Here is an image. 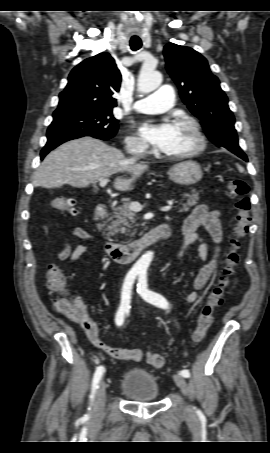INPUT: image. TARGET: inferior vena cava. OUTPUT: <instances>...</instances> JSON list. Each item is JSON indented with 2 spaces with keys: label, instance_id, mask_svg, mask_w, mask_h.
Here are the masks:
<instances>
[{
  "label": "inferior vena cava",
  "instance_id": "1",
  "mask_svg": "<svg viewBox=\"0 0 270 453\" xmlns=\"http://www.w3.org/2000/svg\"><path fill=\"white\" fill-rule=\"evenodd\" d=\"M130 160L135 162V161L138 160V158L137 157H132Z\"/></svg>",
  "mask_w": 270,
  "mask_h": 453
}]
</instances>
